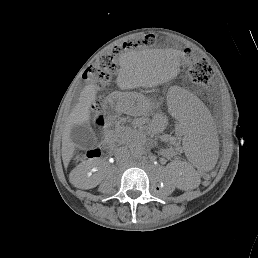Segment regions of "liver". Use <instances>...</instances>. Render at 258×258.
I'll return each instance as SVG.
<instances>
[{
  "instance_id": "6515ba94",
  "label": "liver",
  "mask_w": 258,
  "mask_h": 258,
  "mask_svg": "<svg viewBox=\"0 0 258 258\" xmlns=\"http://www.w3.org/2000/svg\"><path fill=\"white\" fill-rule=\"evenodd\" d=\"M165 75L164 71L154 63L143 61L135 62L124 59L122 62V72L120 73L117 83L121 89L130 88L138 76H159ZM97 94L95 85H88L82 92L79 102L75 105L70 114L68 124L62 137V160L68 165L75 151V144L70 138L71 128L74 125H82L89 120L90 106L95 101ZM79 169V167H77ZM74 171L70 173V181L78 188L88 189L91 181H78L74 178Z\"/></svg>"
}]
</instances>
